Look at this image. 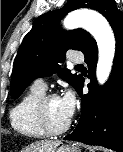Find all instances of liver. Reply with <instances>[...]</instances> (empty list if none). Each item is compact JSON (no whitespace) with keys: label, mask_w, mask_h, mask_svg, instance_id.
<instances>
[{"label":"liver","mask_w":123,"mask_h":152,"mask_svg":"<svg viewBox=\"0 0 123 152\" xmlns=\"http://www.w3.org/2000/svg\"><path fill=\"white\" fill-rule=\"evenodd\" d=\"M59 145V141H38L25 147L21 152H53Z\"/></svg>","instance_id":"6515ba94"}]
</instances>
